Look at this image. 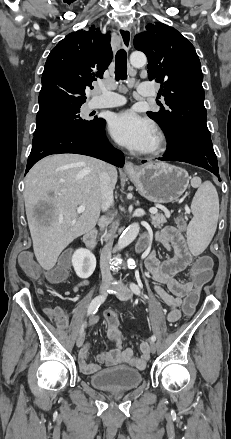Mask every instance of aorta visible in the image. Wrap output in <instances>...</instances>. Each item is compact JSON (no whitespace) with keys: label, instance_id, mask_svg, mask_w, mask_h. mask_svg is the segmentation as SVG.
<instances>
[{"label":"aorta","instance_id":"obj_1","mask_svg":"<svg viewBox=\"0 0 231 439\" xmlns=\"http://www.w3.org/2000/svg\"><path fill=\"white\" fill-rule=\"evenodd\" d=\"M146 62L147 58L142 52L136 51L130 55V63L136 68L143 67ZM139 230L140 226L138 223H133L129 227H127L119 237L117 249L120 251L123 248L127 247L131 242H133L137 237Z\"/></svg>","mask_w":231,"mask_h":439}]
</instances>
